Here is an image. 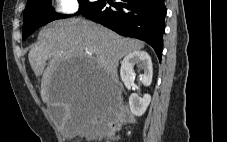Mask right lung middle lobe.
Wrapping results in <instances>:
<instances>
[{
    "label": "right lung middle lobe",
    "instance_id": "dd1d6c3e",
    "mask_svg": "<svg viewBox=\"0 0 227 142\" xmlns=\"http://www.w3.org/2000/svg\"><path fill=\"white\" fill-rule=\"evenodd\" d=\"M98 1L89 2L88 0H78L80 4L79 11L81 13L87 8L96 5ZM67 15L57 14L51 8V0H30L27 2L24 11V23L22 28V39H26L36 29L56 19L65 18Z\"/></svg>",
    "mask_w": 227,
    "mask_h": 142
}]
</instances>
